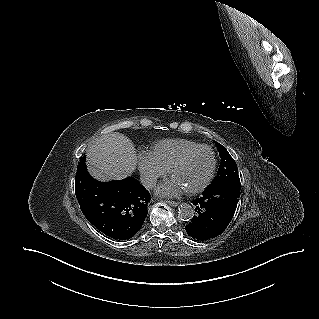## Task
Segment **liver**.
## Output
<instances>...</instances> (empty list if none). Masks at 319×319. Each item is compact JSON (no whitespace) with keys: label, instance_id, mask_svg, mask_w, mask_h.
<instances>
[{"label":"liver","instance_id":"obj_1","mask_svg":"<svg viewBox=\"0 0 319 319\" xmlns=\"http://www.w3.org/2000/svg\"><path fill=\"white\" fill-rule=\"evenodd\" d=\"M90 173L97 179H123L133 173L137 163L131 140L118 132L97 139L87 149Z\"/></svg>","mask_w":319,"mask_h":319}]
</instances>
